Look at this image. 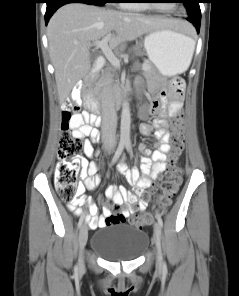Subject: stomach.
Returning <instances> with one entry per match:
<instances>
[{
	"mask_svg": "<svg viewBox=\"0 0 239 296\" xmlns=\"http://www.w3.org/2000/svg\"><path fill=\"white\" fill-rule=\"evenodd\" d=\"M192 39L170 28L157 29L146 35L144 48L158 72L172 77L186 70Z\"/></svg>",
	"mask_w": 239,
	"mask_h": 296,
	"instance_id": "1",
	"label": "stomach"
}]
</instances>
